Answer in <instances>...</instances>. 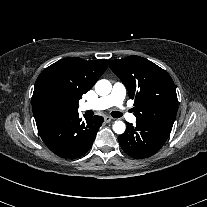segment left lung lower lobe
Returning a JSON list of instances; mask_svg holds the SVG:
<instances>
[{"label":"left lung lower lobe","instance_id":"1","mask_svg":"<svg viewBox=\"0 0 207 207\" xmlns=\"http://www.w3.org/2000/svg\"><path fill=\"white\" fill-rule=\"evenodd\" d=\"M171 130V128L136 121L134 126L127 123V129L118 137V141L126 154L133 158L143 159L160 150Z\"/></svg>","mask_w":207,"mask_h":207}]
</instances>
